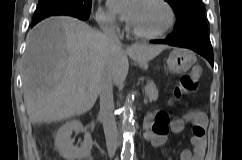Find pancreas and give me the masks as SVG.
Masks as SVG:
<instances>
[{"instance_id": "1", "label": "pancreas", "mask_w": 242, "mask_h": 160, "mask_svg": "<svg viewBox=\"0 0 242 160\" xmlns=\"http://www.w3.org/2000/svg\"><path fill=\"white\" fill-rule=\"evenodd\" d=\"M145 94L149 98V101H155L158 98V90L156 88V85L154 84L153 81H148L145 88Z\"/></svg>"}]
</instances>
